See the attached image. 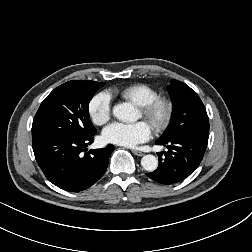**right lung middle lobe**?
Segmentation results:
<instances>
[{
    "mask_svg": "<svg viewBox=\"0 0 252 252\" xmlns=\"http://www.w3.org/2000/svg\"><path fill=\"white\" fill-rule=\"evenodd\" d=\"M104 82L72 80L54 89L41 103L32 124L38 136L86 137L96 132L89 120L88 105Z\"/></svg>",
    "mask_w": 252,
    "mask_h": 252,
    "instance_id": "right-lung-middle-lobe-1",
    "label": "right lung middle lobe"
}]
</instances>
